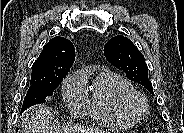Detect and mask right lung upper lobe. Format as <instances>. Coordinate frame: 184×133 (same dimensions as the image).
<instances>
[{
	"label": "right lung upper lobe",
	"instance_id": "1",
	"mask_svg": "<svg viewBox=\"0 0 184 133\" xmlns=\"http://www.w3.org/2000/svg\"><path fill=\"white\" fill-rule=\"evenodd\" d=\"M75 60V49L64 37L52 38L32 65L30 84H46L54 78H65Z\"/></svg>",
	"mask_w": 184,
	"mask_h": 133
}]
</instances>
